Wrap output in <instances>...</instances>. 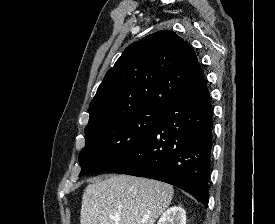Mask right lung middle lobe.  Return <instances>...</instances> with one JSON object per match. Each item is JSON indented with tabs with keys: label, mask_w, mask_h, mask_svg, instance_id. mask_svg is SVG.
I'll list each match as a JSON object with an SVG mask.
<instances>
[{
	"label": "right lung middle lobe",
	"mask_w": 275,
	"mask_h": 224,
	"mask_svg": "<svg viewBox=\"0 0 275 224\" xmlns=\"http://www.w3.org/2000/svg\"><path fill=\"white\" fill-rule=\"evenodd\" d=\"M164 111L142 108L86 128L85 147L79 155V176L100 173L122 160L151 134Z\"/></svg>",
	"instance_id": "right-lung-middle-lobe-1"
}]
</instances>
